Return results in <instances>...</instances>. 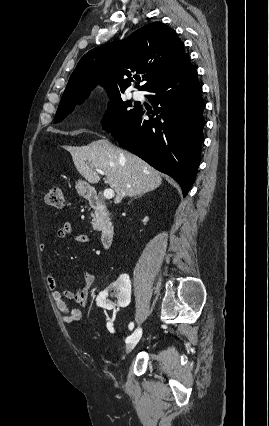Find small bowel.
Listing matches in <instances>:
<instances>
[{
  "mask_svg": "<svg viewBox=\"0 0 269 426\" xmlns=\"http://www.w3.org/2000/svg\"><path fill=\"white\" fill-rule=\"evenodd\" d=\"M56 235L59 239L70 238L77 243L89 244L91 242V238L88 235L76 233L70 222L64 223L58 229ZM39 248L41 251H45L46 245L42 243ZM94 281L95 273L91 270H87L83 274L78 289L63 290L55 276L52 273H47L46 282L51 290L52 299L67 323H73L80 319L82 314L81 309L84 308L88 302ZM70 302L77 305V307L71 306L69 304Z\"/></svg>",
  "mask_w": 269,
  "mask_h": 426,
  "instance_id": "obj_1",
  "label": "small bowel"
}]
</instances>
